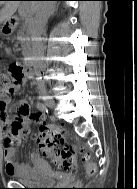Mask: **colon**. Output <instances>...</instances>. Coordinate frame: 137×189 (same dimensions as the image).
I'll return each instance as SVG.
<instances>
[{"instance_id":"obj_1","label":"colon","mask_w":137,"mask_h":189,"mask_svg":"<svg viewBox=\"0 0 137 189\" xmlns=\"http://www.w3.org/2000/svg\"><path fill=\"white\" fill-rule=\"evenodd\" d=\"M23 76V69L18 65H11L8 71L0 70V97L13 95ZM21 113L28 115L29 108L24 106ZM32 118L40 122V130L36 136V141L42 153L50 158L59 170L72 174L75 170L77 147L65 141V129L58 125L45 123L40 114H34ZM10 129L13 135H23L26 132L21 119L13 120ZM81 154L83 161L86 163L87 173L89 175L94 174L95 165L91 162L89 153L82 152Z\"/></svg>"}]
</instances>
